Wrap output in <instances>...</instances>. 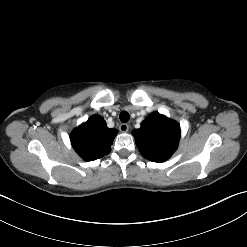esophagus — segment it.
Segmentation results:
<instances>
[{
    "label": "esophagus",
    "instance_id": "34e87169",
    "mask_svg": "<svg viewBox=\"0 0 247 247\" xmlns=\"http://www.w3.org/2000/svg\"><path fill=\"white\" fill-rule=\"evenodd\" d=\"M119 130H120L121 132H123V133H126V132H128V130H129V125H128V124H125V123H122V124H120V126H119Z\"/></svg>",
    "mask_w": 247,
    "mask_h": 247
}]
</instances>
